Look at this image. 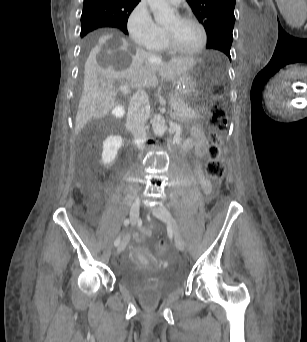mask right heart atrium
I'll return each instance as SVG.
<instances>
[{
    "label": "right heart atrium",
    "mask_w": 307,
    "mask_h": 342,
    "mask_svg": "<svg viewBox=\"0 0 307 342\" xmlns=\"http://www.w3.org/2000/svg\"><path fill=\"white\" fill-rule=\"evenodd\" d=\"M126 26L130 40L138 46H154L159 44L163 39L149 10L144 5H138L130 13Z\"/></svg>",
    "instance_id": "1"
}]
</instances>
